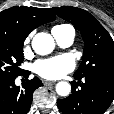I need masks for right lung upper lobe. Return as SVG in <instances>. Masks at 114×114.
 Masks as SVG:
<instances>
[{"mask_svg":"<svg viewBox=\"0 0 114 114\" xmlns=\"http://www.w3.org/2000/svg\"><path fill=\"white\" fill-rule=\"evenodd\" d=\"M55 18L50 9L14 6L0 12V34L24 41L32 30Z\"/></svg>","mask_w":114,"mask_h":114,"instance_id":"obj_1","label":"right lung upper lobe"}]
</instances>
